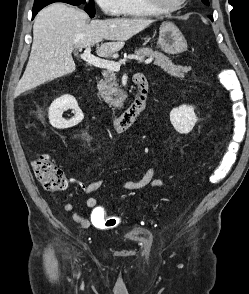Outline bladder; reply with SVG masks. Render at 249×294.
Listing matches in <instances>:
<instances>
[{"mask_svg":"<svg viewBox=\"0 0 249 294\" xmlns=\"http://www.w3.org/2000/svg\"><path fill=\"white\" fill-rule=\"evenodd\" d=\"M149 232L136 228L129 231L125 236V241L129 243H141L149 239Z\"/></svg>","mask_w":249,"mask_h":294,"instance_id":"obj_1","label":"bladder"}]
</instances>
